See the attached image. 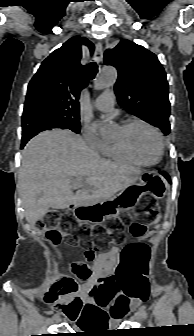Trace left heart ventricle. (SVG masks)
Segmentation results:
<instances>
[{
    "label": "left heart ventricle",
    "mask_w": 194,
    "mask_h": 336,
    "mask_svg": "<svg viewBox=\"0 0 194 336\" xmlns=\"http://www.w3.org/2000/svg\"><path fill=\"white\" fill-rule=\"evenodd\" d=\"M124 140L143 161L152 162L158 158L159 143L155 134L145 126L135 125L124 131L119 129L115 142Z\"/></svg>",
    "instance_id": "1"
}]
</instances>
